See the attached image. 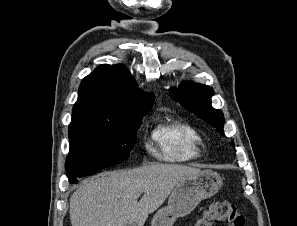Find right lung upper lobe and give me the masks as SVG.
I'll return each instance as SVG.
<instances>
[{
	"label": "right lung upper lobe",
	"mask_w": 297,
	"mask_h": 226,
	"mask_svg": "<svg viewBox=\"0 0 297 226\" xmlns=\"http://www.w3.org/2000/svg\"><path fill=\"white\" fill-rule=\"evenodd\" d=\"M153 101V94L138 89L123 65L103 64L82 80L71 123L117 124L125 109L149 108Z\"/></svg>",
	"instance_id": "obj_1"
}]
</instances>
